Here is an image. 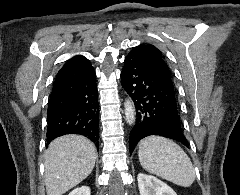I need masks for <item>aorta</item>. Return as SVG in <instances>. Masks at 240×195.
Wrapping results in <instances>:
<instances>
[{"instance_id":"obj_1","label":"aorta","mask_w":240,"mask_h":195,"mask_svg":"<svg viewBox=\"0 0 240 195\" xmlns=\"http://www.w3.org/2000/svg\"><path fill=\"white\" fill-rule=\"evenodd\" d=\"M124 113H125V119L127 123H134L136 117V111L134 107V101H132L131 98L125 99L124 101Z\"/></svg>"}]
</instances>
